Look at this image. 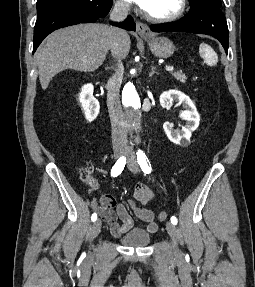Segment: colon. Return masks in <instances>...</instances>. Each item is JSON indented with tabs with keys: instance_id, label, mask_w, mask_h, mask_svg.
Returning a JSON list of instances; mask_svg holds the SVG:
<instances>
[{
	"instance_id": "obj_1",
	"label": "colon",
	"mask_w": 255,
	"mask_h": 287,
	"mask_svg": "<svg viewBox=\"0 0 255 287\" xmlns=\"http://www.w3.org/2000/svg\"><path fill=\"white\" fill-rule=\"evenodd\" d=\"M81 179L86 184H92L93 180H92L91 172L88 169H83L81 171ZM157 217L160 221H164L167 218V213L164 211H160L157 213Z\"/></svg>"
}]
</instances>
